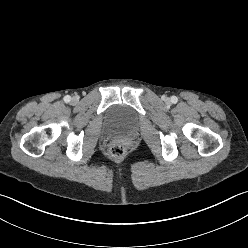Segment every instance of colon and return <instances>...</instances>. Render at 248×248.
Returning <instances> with one entry per match:
<instances>
[{
  "mask_svg": "<svg viewBox=\"0 0 248 248\" xmlns=\"http://www.w3.org/2000/svg\"><path fill=\"white\" fill-rule=\"evenodd\" d=\"M108 154L112 160H120L126 154V146L122 142L112 143L109 147Z\"/></svg>",
  "mask_w": 248,
  "mask_h": 248,
  "instance_id": "obj_1",
  "label": "colon"
}]
</instances>
